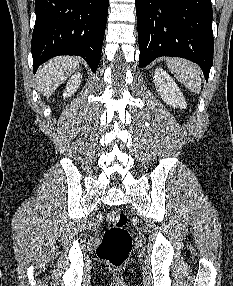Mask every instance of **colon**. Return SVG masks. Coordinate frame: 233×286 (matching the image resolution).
I'll return each mask as SVG.
<instances>
[{
	"label": "colon",
	"instance_id": "obj_1",
	"mask_svg": "<svg viewBox=\"0 0 233 286\" xmlns=\"http://www.w3.org/2000/svg\"><path fill=\"white\" fill-rule=\"evenodd\" d=\"M127 221V216L117 210L109 211L106 215V231L97 248V255L113 269L122 268L132 250Z\"/></svg>",
	"mask_w": 233,
	"mask_h": 286
}]
</instances>
